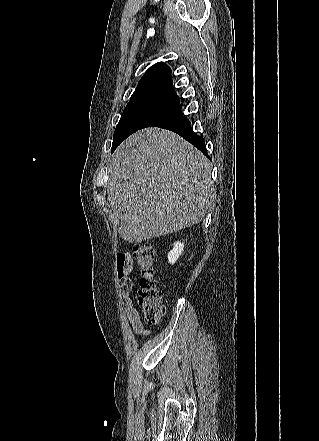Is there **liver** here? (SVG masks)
<instances>
[{"label": "liver", "instance_id": "1", "mask_svg": "<svg viewBox=\"0 0 319 441\" xmlns=\"http://www.w3.org/2000/svg\"><path fill=\"white\" fill-rule=\"evenodd\" d=\"M109 173L112 217L129 243L198 224L214 202L208 159L168 130L132 134L115 151Z\"/></svg>", "mask_w": 319, "mask_h": 441}]
</instances>
